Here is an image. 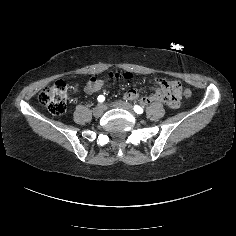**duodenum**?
<instances>
[{"label":"duodenum","instance_id":"obj_1","mask_svg":"<svg viewBox=\"0 0 236 236\" xmlns=\"http://www.w3.org/2000/svg\"><path fill=\"white\" fill-rule=\"evenodd\" d=\"M156 102H164L168 106L175 108L178 105L179 99L177 93L171 90L169 84L161 83L159 91L156 94L142 99V104L145 106Z\"/></svg>","mask_w":236,"mask_h":236}]
</instances>
